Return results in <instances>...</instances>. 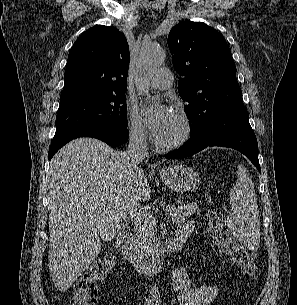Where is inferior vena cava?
I'll return each mask as SVG.
<instances>
[{
	"label": "inferior vena cava",
	"mask_w": 297,
	"mask_h": 305,
	"mask_svg": "<svg viewBox=\"0 0 297 305\" xmlns=\"http://www.w3.org/2000/svg\"><path fill=\"white\" fill-rule=\"evenodd\" d=\"M146 132L143 128H134L129 135V145L124 153L126 164L132 169H137L138 164L146 155Z\"/></svg>",
	"instance_id": "obj_1"
}]
</instances>
